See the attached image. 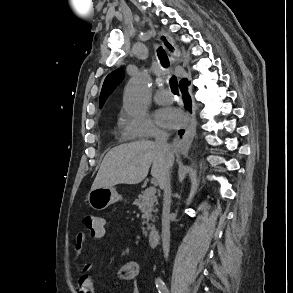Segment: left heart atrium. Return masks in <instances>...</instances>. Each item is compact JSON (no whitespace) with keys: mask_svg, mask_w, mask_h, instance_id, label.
<instances>
[{"mask_svg":"<svg viewBox=\"0 0 293 293\" xmlns=\"http://www.w3.org/2000/svg\"><path fill=\"white\" fill-rule=\"evenodd\" d=\"M156 121L164 128H176L184 121V116L180 110L173 107L161 108L156 112Z\"/></svg>","mask_w":293,"mask_h":293,"instance_id":"obj_1","label":"left heart atrium"}]
</instances>
